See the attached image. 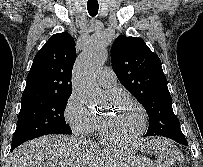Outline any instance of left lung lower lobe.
Listing matches in <instances>:
<instances>
[{
	"instance_id": "left-lung-lower-lobe-1",
	"label": "left lung lower lobe",
	"mask_w": 203,
	"mask_h": 167,
	"mask_svg": "<svg viewBox=\"0 0 203 167\" xmlns=\"http://www.w3.org/2000/svg\"><path fill=\"white\" fill-rule=\"evenodd\" d=\"M165 137L173 139V140H175L176 142H178L180 144L187 145V141H186L185 137L183 135H181V134L180 135H176V134L172 135L171 134V135H168V136H165Z\"/></svg>"
}]
</instances>
